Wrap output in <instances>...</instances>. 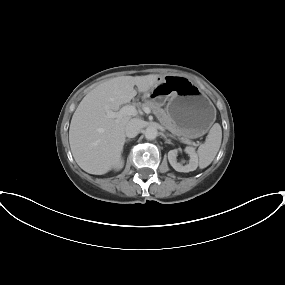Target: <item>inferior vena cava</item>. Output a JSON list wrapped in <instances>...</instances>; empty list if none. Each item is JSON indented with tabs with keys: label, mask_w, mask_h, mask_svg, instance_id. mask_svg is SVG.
I'll use <instances>...</instances> for the list:
<instances>
[{
	"label": "inferior vena cava",
	"mask_w": 285,
	"mask_h": 285,
	"mask_svg": "<svg viewBox=\"0 0 285 285\" xmlns=\"http://www.w3.org/2000/svg\"><path fill=\"white\" fill-rule=\"evenodd\" d=\"M143 128V121L140 119H131L125 128V134L128 138L137 136Z\"/></svg>",
	"instance_id": "obj_1"
}]
</instances>
